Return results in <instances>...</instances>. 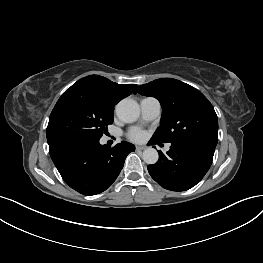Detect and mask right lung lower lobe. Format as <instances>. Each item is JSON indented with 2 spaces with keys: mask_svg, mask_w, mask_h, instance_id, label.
I'll list each match as a JSON object with an SVG mask.
<instances>
[{
  "mask_svg": "<svg viewBox=\"0 0 263 263\" xmlns=\"http://www.w3.org/2000/svg\"><path fill=\"white\" fill-rule=\"evenodd\" d=\"M135 146L126 141L110 148L99 139H68L49 144L50 156L63 180L84 195H96L116 180Z\"/></svg>",
  "mask_w": 263,
  "mask_h": 263,
  "instance_id": "obj_1",
  "label": "right lung lower lobe"
}]
</instances>
